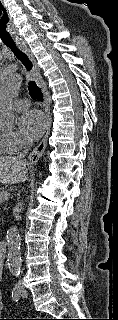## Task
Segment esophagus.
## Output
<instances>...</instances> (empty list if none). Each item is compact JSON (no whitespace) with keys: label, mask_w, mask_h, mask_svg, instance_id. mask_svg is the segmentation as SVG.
I'll list each match as a JSON object with an SVG mask.
<instances>
[{"label":"esophagus","mask_w":118,"mask_h":320,"mask_svg":"<svg viewBox=\"0 0 118 320\" xmlns=\"http://www.w3.org/2000/svg\"><path fill=\"white\" fill-rule=\"evenodd\" d=\"M21 48L27 54V56L29 57V59L32 62V65H33L32 76H33L34 80L36 81V83L38 84V86L42 89V91L44 93V101H45V105H46V121H47L46 133H45L42 141L33 149V151L29 154V157H28L30 164H36L38 162V160L41 158V156L43 155L45 148L47 146V140H48V136L50 134V127H51V114H50V110L48 107L47 87H46V84L41 76L40 69L37 65V61L35 59V56L33 55V53L30 51V49L26 45H21Z\"/></svg>","instance_id":"1"}]
</instances>
